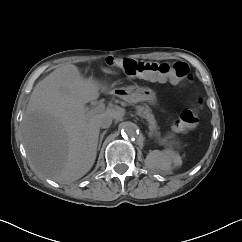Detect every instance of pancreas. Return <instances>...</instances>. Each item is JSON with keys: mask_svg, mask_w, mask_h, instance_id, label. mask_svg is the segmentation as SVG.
I'll return each instance as SVG.
<instances>
[{"mask_svg": "<svg viewBox=\"0 0 242 242\" xmlns=\"http://www.w3.org/2000/svg\"><path fill=\"white\" fill-rule=\"evenodd\" d=\"M137 115L145 118L148 121L150 135H155V136L159 135V133L157 132V125L154 119V115L151 113V110L149 107L138 106Z\"/></svg>", "mask_w": 242, "mask_h": 242, "instance_id": "pancreas-1", "label": "pancreas"}]
</instances>
